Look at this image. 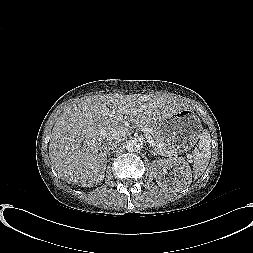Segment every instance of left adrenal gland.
Listing matches in <instances>:
<instances>
[{
    "instance_id": "obj_1",
    "label": "left adrenal gland",
    "mask_w": 253,
    "mask_h": 253,
    "mask_svg": "<svg viewBox=\"0 0 253 253\" xmlns=\"http://www.w3.org/2000/svg\"><path fill=\"white\" fill-rule=\"evenodd\" d=\"M149 148H150V153L153 155H156L154 147L150 145Z\"/></svg>"
}]
</instances>
